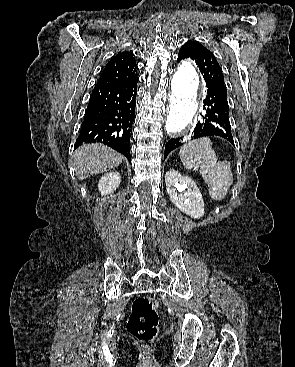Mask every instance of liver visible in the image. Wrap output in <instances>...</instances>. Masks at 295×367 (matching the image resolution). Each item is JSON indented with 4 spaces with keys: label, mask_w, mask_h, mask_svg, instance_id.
Masks as SVG:
<instances>
[{
    "label": "liver",
    "mask_w": 295,
    "mask_h": 367,
    "mask_svg": "<svg viewBox=\"0 0 295 367\" xmlns=\"http://www.w3.org/2000/svg\"><path fill=\"white\" fill-rule=\"evenodd\" d=\"M73 166L79 180L119 166L123 156L103 144H85L73 154Z\"/></svg>",
    "instance_id": "obj_1"
}]
</instances>
